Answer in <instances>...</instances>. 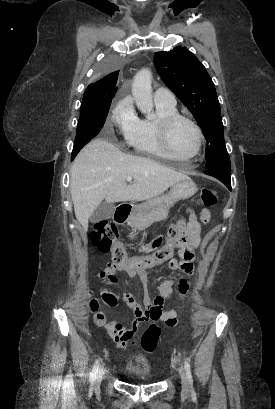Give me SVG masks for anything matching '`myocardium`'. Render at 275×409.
<instances>
[{"label":"myocardium","mask_w":275,"mask_h":409,"mask_svg":"<svg viewBox=\"0 0 275 409\" xmlns=\"http://www.w3.org/2000/svg\"><path fill=\"white\" fill-rule=\"evenodd\" d=\"M180 122H185L191 126L196 137V148L193 154L188 157H197L202 149V133L199 126L190 118L183 115H174L163 119L159 124V132L164 151L169 157H180L173 151L171 137L174 127Z\"/></svg>","instance_id":"1"}]
</instances>
